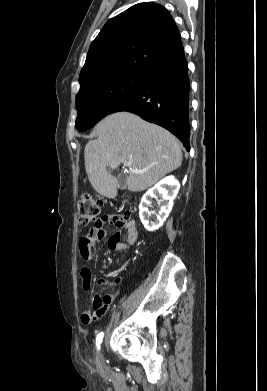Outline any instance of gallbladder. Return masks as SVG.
I'll return each mask as SVG.
<instances>
[{
  "label": "gallbladder",
  "instance_id": "obj_1",
  "mask_svg": "<svg viewBox=\"0 0 267 391\" xmlns=\"http://www.w3.org/2000/svg\"><path fill=\"white\" fill-rule=\"evenodd\" d=\"M118 188L121 190L126 189V177L121 175L118 179Z\"/></svg>",
  "mask_w": 267,
  "mask_h": 391
}]
</instances>
